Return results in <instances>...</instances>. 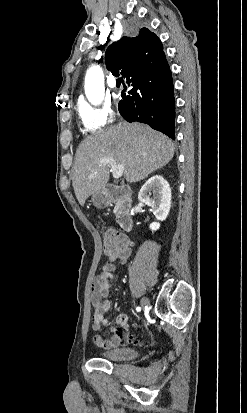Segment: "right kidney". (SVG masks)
Instances as JSON below:
<instances>
[{"label": "right kidney", "instance_id": "right-kidney-1", "mask_svg": "<svg viewBox=\"0 0 247 413\" xmlns=\"http://www.w3.org/2000/svg\"><path fill=\"white\" fill-rule=\"evenodd\" d=\"M149 192H153L150 196ZM140 202H145L151 207L153 215L157 221H165L169 215L171 207V188L167 180L161 174H154L148 178L138 192ZM160 223H151V231H157Z\"/></svg>", "mask_w": 247, "mask_h": 413}]
</instances>
